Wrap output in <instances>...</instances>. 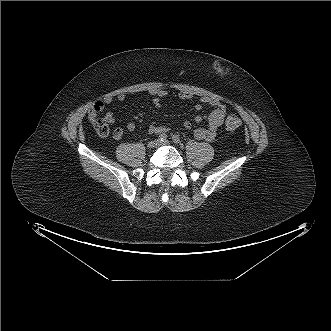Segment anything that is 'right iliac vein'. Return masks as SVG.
Instances as JSON below:
<instances>
[{
  "instance_id": "right-iliac-vein-1",
  "label": "right iliac vein",
  "mask_w": 331,
  "mask_h": 331,
  "mask_svg": "<svg viewBox=\"0 0 331 331\" xmlns=\"http://www.w3.org/2000/svg\"><path fill=\"white\" fill-rule=\"evenodd\" d=\"M157 145H158V141L153 140V141H150V142L147 144V147H148L149 149H152V148L156 147Z\"/></svg>"
}]
</instances>
